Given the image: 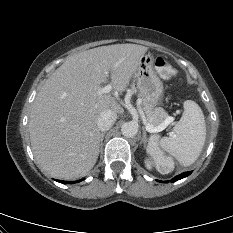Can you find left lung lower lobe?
<instances>
[{
  "label": "left lung lower lobe",
  "mask_w": 233,
  "mask_h": 233,
  "mask_svg": "<svg viewBox=\"0 0 233 233\" xmlns=\"http://www.w3.org/2000/svg\"><path fill=\"white\" fill-rule=\"evenodd\" d=\"M191 173H192L191 171H190V172H184V173H182V174L176 176L175 178L171 179L170 182L178 181V180H180V179H182V178L187 177V176L190 175ZM166 183H167V182H166Z\"/></svg>",
  "instance_id": "obj_1"
}]
</instances>
